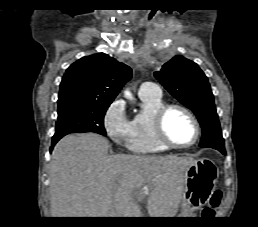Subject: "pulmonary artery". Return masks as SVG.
I'll list each match as a JSON object with an SVG mask.
<instances>
[{"label":"pulmonary artery","instance_id":"obj_1","mask_svg":"<svg viewBox=\"0 0 258 227\" xmlns=\"http://www.w3.org/2000/svg\"><path fill=\"white\" fill-rule=\"evenodd\" d=\"M139 95L142 96H153V97H161L162 92L158 85L153 82H144L140 85Z\"/></svg>","mask_w":258,"mask_h":227}]
</instances>
